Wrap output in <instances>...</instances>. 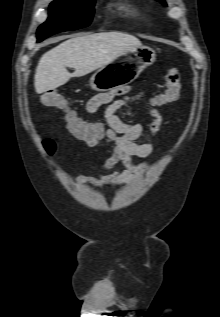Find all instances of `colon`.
Listing matches in <instances>:
<instances>
[{"mask_svg": "<svg viewBox=\"0 0 220 317\" xmlns=\"http://www.w3.org/2000/svg\"><path fill=\"white\" fill-rule=\"evenodd\" d=\"M166 87L163 92L158 94L154 99L155 105H166L179 100L181 96V81L176 69L168 70L166 74ZM41 102L48 107L64 111L65 119L72 130L83 128V122L78 119L67 107L66 99L54 90H46L41 94ZM41 145L47 155H53L57 145L51 138L44 137L41 139Z\"/></svg>", "mask_w": 220, "mask_h": 317, "instance_id": "colon-1", "label": "colon"}]
</instances>
